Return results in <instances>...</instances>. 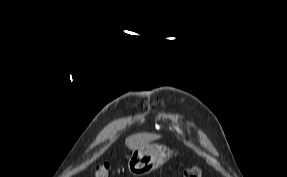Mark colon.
<instances>
[{
	"label": "colon",
	"instance_id": "5ec220e1",
	"mask_svg": "<svg viewBox=\"0 0 287 177\" xmlns=\"http://www.w3.org/2000/svg\"><path fill=\"white\" fill-rule=\"evenodd\" d=\"M95 177H110V166L108 165H99L94 171ZM202 170L198 166H192L185 170L184 177H202Z\"/></svg>",
	"mask_w": 287,
	"mask_h": 177
}]
</instances>
